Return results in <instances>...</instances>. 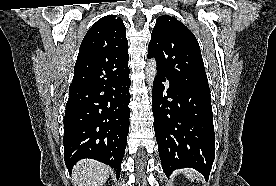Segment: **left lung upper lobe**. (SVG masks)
I'll return each instance as SVG.
<instances>
[{
  "instance_id": "obj_1",
  "label": "left lung upper lobe",
  "mask_w": 276,
  "mask_h": 186,
  "mask_svg": "<svg viewBox=\"0 0 276 186\" xmlns=\"http://www.w3.org/2000/svg\"><path fill=\"white\" fill-rule=\"evenodd\" d=\"M148 48V58L155 57L157 71L173 81L210 90L198 41L176 18H157Z\"/></svg>"
}]
</instances>
